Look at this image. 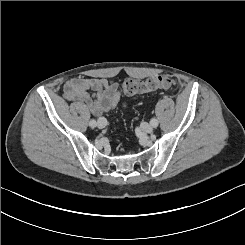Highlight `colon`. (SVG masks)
<instances>
[{"label": "colon", "mask_w": 245, "mask_h": 245, "mask_svg": "<svg viewBox=\"0 0 245 245\" xmlns=\"http://www.w3.org/2000/svg\"><path fill=\"white\" fill-rule=\"evenodd\" d=\"M175 85L172 77L166 74L157 75L145 80L127 78L121 85V90L127 95L148 93L156 90L171 89Z\"/></svg>", "instance_id": "obj_1"}]
</instances>
